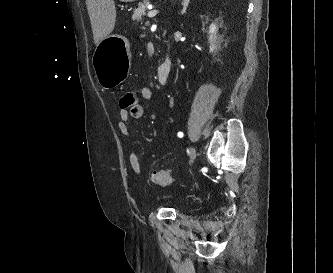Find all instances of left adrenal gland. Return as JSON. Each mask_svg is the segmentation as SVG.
<instances>
[{"label": "left adrenal gland", "mask_w": 333, "mask_h": 273, "mask_svg": "<svg viewBox=\"0 0 333 273\" xmlns=\"http://www.w3.org/2000/svg\"><path fill=\"white\" fill-rule=\"evenodd\" d=\"M190 0H183L182 1V10H181V14L186 13L188 4H189Z\"/></svg>", "instance_id": "obj_1"}]
</instances>
